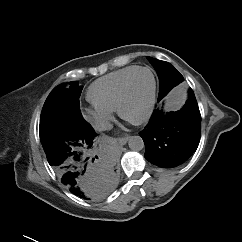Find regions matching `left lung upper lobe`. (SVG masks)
<instances>
[{"label":"left lung upper lobe","mask_w":242,"mask_h":242,"mask_svg":"<svg viewBox=\"0 0 242 242\" xmlns=\"http://www.w3.org/2000/svg\"><path fill=\"white\" fill-rule=\"evenodd\" d=\"M147 59L157 71L160 80V90L158 95L159 102L173 87L181 83L184 78L170 63L151 57H147Z\"/></svg>","instance_id":"left-lung-upper-lobe-1"}]
</instances>
